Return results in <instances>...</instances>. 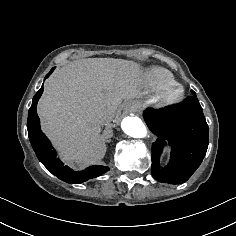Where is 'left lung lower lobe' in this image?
<instances>
[{"label": "left lung lower lobe", "instance_id": "0a47b994", "mask_svg": "<svg viewBox=\"0 0 236 236\" xmlns=\"http://www.w3.org/2000/svg\"><path fill=\"white\" fill-rule=\"evenodd\" d=\"M192 94L175 106L144 111L147 126L158 137L152 144L151 173L159 182L184 183L205 157L209 144L208 125L196 93L192 91ZM167 144L171 147V158L161 168L159 158Z\"/></svg>", "mask_w": 236, "mask_h": 236}]
</instances>
